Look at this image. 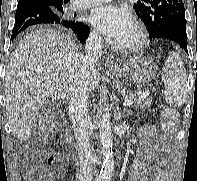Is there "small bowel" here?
Instances as JSON below:
<instances>
[{
  "instance_id": "small-bowel-1",
  "label": "small bowel",
  "mask_w": 197,
  "mask_h": 181,
  "mask_svg": "<svg viewBox=\"0 0 197 181\" xmlns=\"http://www.w3.org/2000/svg\"><path fill=\"white\" fill-rule=\"evenodd\" d=\"M172 134L160 135L155 126L140 129L137 156L131 164L127 181H171L169 169L173 168V163L169 155L172 148L168 137Z\"/></svg>"
}]
</instances>
